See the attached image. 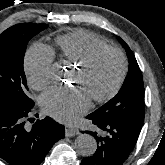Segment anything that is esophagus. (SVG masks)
Here are the masks:
<instances>
[{
  "label": "esophagus",
  "instance_id": "esophagus-1",
  "mask_svg": "<svg viewBox=\"0 0 165 165\" xmlns=\"http://www.w3.org/2000/svg\"><path fill=\"white\" fill-rule=\"evenodd\" d=\"M66 136L72 137L79 134V130L72 126H66L65 128Z\"/></svg>",
  "mask_w": 165,
  "mask_h": 165
}]
</instances>
